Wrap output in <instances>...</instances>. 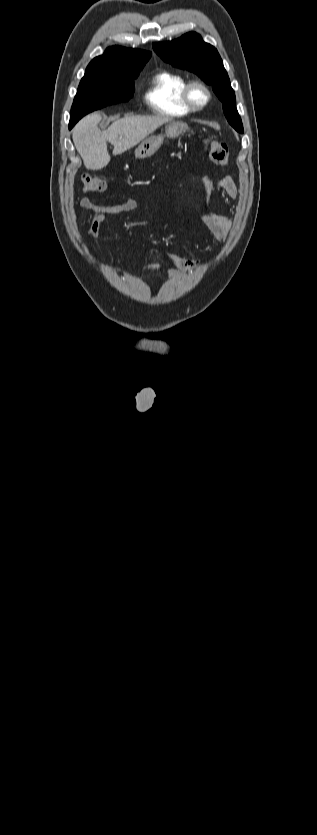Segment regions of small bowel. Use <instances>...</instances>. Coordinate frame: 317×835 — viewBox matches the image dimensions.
Masks as SVG:
<instances>
[{
  "label": "small bowel",
  "instance_id": "small-bowel-1",
  "mask_svg": "<svg viewBox=\"0 0 317 835\" xmlns=\"http://www.w3.org/2000/svg\"><path fill=\"white\" fill-rule=\"evenodd\" d=\"M202 186L206 201L209 202L212 190L218 188L225 192L230 198L235 199L238 196V189L235 181L227 175L222 176H206L202 180ZM81 207L85 210L91 211L93 216L88 227L89 238L96 243L97 236L100 231V226L104 220L105 213L114 212H130L136 209L137 202L134 199H126L123 202L114 205L111 208L92 204L89 199L83 198ZM202 221L212 236L219 242H224L230 232L232 222L231 220L220 213L207 211L202 216ZM161 253L170 260L176 267L186 271H192L200 265L197 260L187 259L176 254L170 253L166 250H161ZM153 266H148L146 270H151Z\"/></svg>",
  "mask_w": 317,
  "mask_h": 835
}]
</instances>
